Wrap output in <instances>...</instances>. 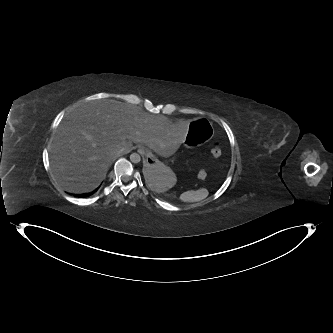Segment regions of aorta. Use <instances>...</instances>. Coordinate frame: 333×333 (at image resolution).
Wrapping results in <instances>:
<instances>
[{
	"mask_svg": "<svg viewBox=\"0 0 333 333\" xmlns=\"http://www.w3.org/2000/svg\"><path fill=\"white\" fill-rule=\"evenodd\" d=\"M130 161L132 163H139L141 161V156L138 153H132L130 155Z\"/></svg>",
	"mask_w": 333,
	"mask_h": 333,
	"instance_id": "obj_1",
	"label": "aorta"
}]
</instances>
